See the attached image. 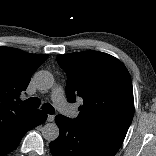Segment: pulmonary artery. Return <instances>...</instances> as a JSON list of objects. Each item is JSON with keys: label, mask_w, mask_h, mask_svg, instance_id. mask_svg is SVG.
Wrapping results in <instances>:
<instances>
[{"label": "pulmonary artery", "mask_w": 156, "mask_h": 156, "mask_svg": "<svg viewBox=\"0 0 156 156\" xmlns=\"http://www.w3.org/2000/svg\"><path fill=\"white\" fill-rule=\"evenodd\" d=\"M51 99L56 105V107L64 112L68 117L75 118L77 112L74 108H72L67 102L64 97L63 89L60 86L54 87L51 93Z\"/></svg>", "instance_id": "obj_1"}]
</instances>
